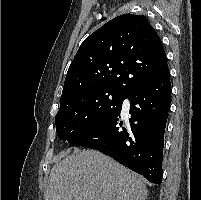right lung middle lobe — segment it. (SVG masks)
I'll list each match as a JSON object with an SVG mask.
<instances>
[{"instance_id":"obj_1","label":"right lung middle lobe","mask_w":201,"mask_h":200,"mask_svg":"<svg viewBox=\"0 0 201 200\" xmlns=\"http://www.w3.org/2000/svg\"><path fill=\"white\" fill-rule=\"evenodd\" d=\"M125 98L115 91H96L61 102L55 117L58 137L72 142L115 113Z\"/></svg>"}]
</instances>
